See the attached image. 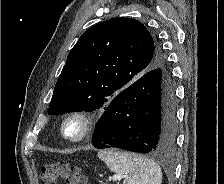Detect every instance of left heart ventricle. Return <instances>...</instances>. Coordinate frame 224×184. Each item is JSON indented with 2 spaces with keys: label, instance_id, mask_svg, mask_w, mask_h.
<instances>
[{
  "label": "left heart ventricle",
  "instance_id": "obj_1",
  "mask_svg": "<svg viewBox=\"0 0 224 184\" xmlns=\"http://www.w3.org/2000/svg\"><path fill=\"white\" fill-rule=\"evenodd\" d=\"M66 133L69 136H75L79 133V124L75 121L70 122L66 127Z\"/></svg>",
  "mask_w": 224,
  "mask_h": 184
}]
</instances>
